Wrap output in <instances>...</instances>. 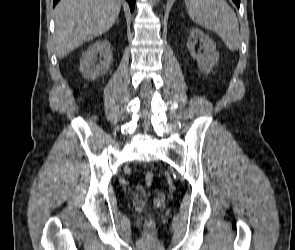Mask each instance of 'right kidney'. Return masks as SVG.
<instances>
[{"label": "right kidney", "mask_w": 295, "mask_h": 250, "mask_svg": "<svg viewBox=\"0 0 295 250\" xmlns=\"http://www.w3.org/2000/svg\"><path fill=\"white\" fill-rule=\"evenodd\" d=\"M98 53L103 55L104 61L96 64L95 61ZM112 61L113 56L110 50V42L108 40H99L90 45L82 54L80 71L85 78L94 80L109 70Z\"/></svg>", "instance_id": "ca27d5eb"}]
</instances>
